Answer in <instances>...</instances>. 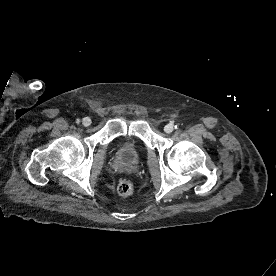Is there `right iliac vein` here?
<instances>
[{"instance_id": "right-iliac-vein-1", "label": "right iliac vein", "mask_w": 276, "mask_h": 276, "mask_svg": "<svg viewBox=\"0 0 276 276\" xmlns=\"http://www.w3.org/2000/svg\"><path fill=\"white\" fill-rule=\"evenodd\" d=\"M82 124L84 125V126H90V124H91V119L89 118V117H85V118H83L82 119Z\"/></svg>"}]
</instances>
